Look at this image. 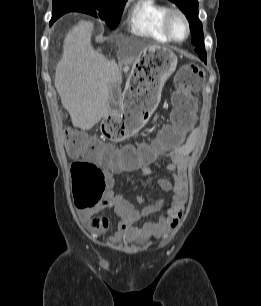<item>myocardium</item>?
I'll use <instances>...</instances> for the list:
<instances>
[{
    "label": "myocardium",
    "mask_w": 261,
    "mask_h": 306,
    "mask_svg": "<svg viewBox=\"0 0 261 306\" xmlns=\"http://www.w3.org/2000/svg\"><path fill=\"white\" fill-rule=\"evenodd\" d=\"M174 17H178L182 21V23L184 24L185 36L182 39H177L176 37H174V35L172 33L171 21ZM163 25H164V30H165L166 34L168 35L170 40H172L174 42H183L190 35L189 21H188L187 17L185 16V14L179 9H176V8L168 9V11L166 12V14L164 16Z\"/></svg>",
    "instance_id": "obj_1"
}]
</instances>
